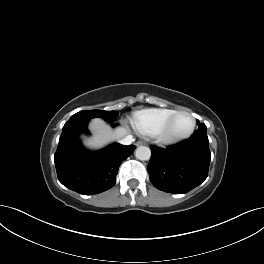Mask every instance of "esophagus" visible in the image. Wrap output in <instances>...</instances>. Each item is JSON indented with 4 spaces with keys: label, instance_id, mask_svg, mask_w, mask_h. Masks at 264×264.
Listing matches in <instances>:
<instances>
[{
    "label": "esophagus",
    "instance_id": "1",
    "mask_svg": "<svg viewBox=\"0 0 264 264\" xmlns=\"http://www.w3.org/2000/svg\"><path fill=\"white\" fill-rule=\"evenodd\" d=\"M144 143L142 141L137 142V145H143Z\"/></svg>",
    "mask_w": 264,
    "mask_h": 264
}]
</instances>
